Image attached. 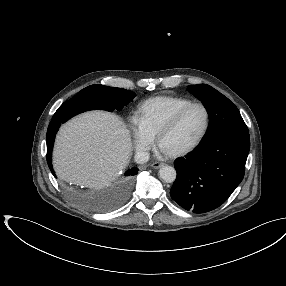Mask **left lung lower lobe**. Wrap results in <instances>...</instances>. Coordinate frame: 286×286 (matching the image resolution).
<instances>
[{
	"mask_svg": "<svg viewBox=\"0 0 286 286\" xmlns=\"http://www.w3.org/2000/svg\"><path fill=\"white\" fill-rule=\"evenodd\" d=\"M249 150V132H223L204 139L193 154L175 163L172 199L195 213L216 209L242 181Z\"/></svg>",
	"mask_w": 286,
	"mask_h": 286,
	"instance_id": "left-lung-lower-lobe-1",
	"label": "left lung lower lobe"
}]
</instances>
